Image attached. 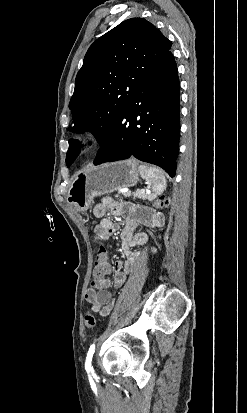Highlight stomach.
<instances>
[{"mask_svg":"<svg viewBox=\"0 0 247 413\" xmlns=\"http://www.w3.org/2000/svg\"><path fill=\"white\" fill-rule=\"evenodd\" d=\"M138 178L139 170L133 158L87 166L75 174L68 188L67 202L78 211H87L94 196L134 186Z\"/></svg>","mask_w":247,"mask_h":413,"instance_id":"stomach-1","label":"stomach"}]
</instances>
